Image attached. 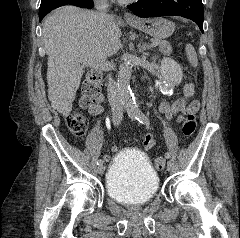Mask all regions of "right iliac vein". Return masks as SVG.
Listing matches in <instances>:
<instances>
[{
	"label": "right iliac vein",
	"instance_id": "63e3f726",
	"mask_svg": "<svg viewBox=\"0 0 240 238\" xmlns=\"http://www.w3.org/2000/svg\"><path fill=\"white\" fill-rule=\"evenodd\" d=\"M97 171L99 174H103L105 171V166L103 164L99 165Z\"/></svg>",
	"mask_w": 240,
	"mask_h": 238
}]
</instances>
